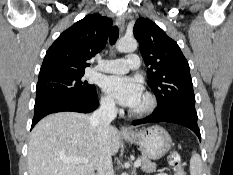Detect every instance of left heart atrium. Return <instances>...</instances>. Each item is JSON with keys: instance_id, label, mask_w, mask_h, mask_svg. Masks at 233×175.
I'll use <instances>...</instances> for the list:
<instances>
[{"instance_id": "39dd6f15", "label": "left heart atrium", "mask_w": 233, "mask_h": 175, "mask_svg": "<svg viewBox=\"0 0 233 175\" xmlns=\"http://www.w3.org/2000/svg\"><path fill=\"white\" fill-rule=\"evenodd\" d=\"M105 91L113 96L122 106L135 108L143 98L142 83L127 76H110L104 81Z\"/></svg>"}]
</instances>
